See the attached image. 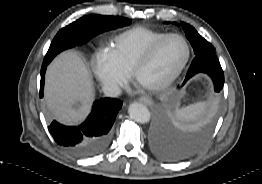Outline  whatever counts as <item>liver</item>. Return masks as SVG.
<instances>
[{
  "label": "liver",
  "mask_w": 262,
  "mask_h": 184,
  "mask_svg": "<svg viewBox=\"0 0 262 184\" xmlns=\"http://www.w3.org/2000/svg\"><path fill=\"white\" fill-rule=\"evenodd\" d=\"M45 99L51 114L63 124H78L89 114L94 99L92 76L75 52L62 53L48 67Z\"/></svg>",
  "instance_id": "liver-1"
}]
</instances>
